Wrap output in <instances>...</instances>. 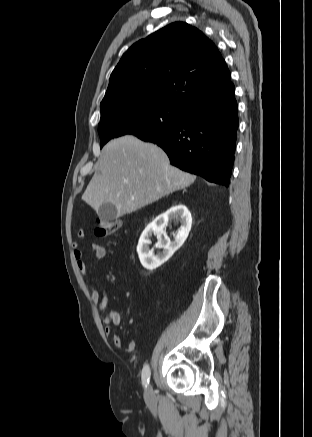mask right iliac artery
Instances as JSON below:
<instances>
[{
  "label": "right iliac artery",
  "instance_id": "82829eb1",
  "mask_svg": "<svg viewBox=\"0 0 312 437\" xmlns=\"http://www.w3.org/2000/svg\"><path fill=\"white\" fill-rule=\"evenodd\" d=\"M150 367L148 364H146L143 367L142 370V384L145 386V388H147L149 381H150Z\"/></svg>",
  "mask_w": 312,
  "mask_h": 437
}]
</instances>
